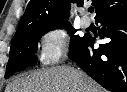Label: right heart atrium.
<instances>
[{
	"instance_id": "d8ad5b80",
	"label": "right heart atrium",
	"mask_w": 127,
	"mask_h": 92,
	"mask_svg": "<svg viewBox=\"0 0 127 92\" xmlns=\"http://www.w3.org/2000/svg\"><path fill=\"white\" fill-rule=\"evenodd\" d=\"M70 37L60 26L46 29L40 39L39 60L44 66L61 62L68 54Z\"/></svg>"
}]
</instances>
